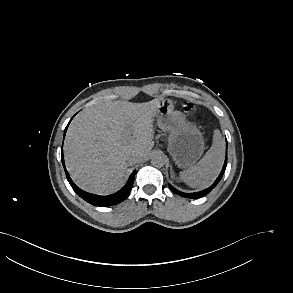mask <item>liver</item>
<instances>
[{"instance_id": "6515ba94", "label": "liver", "mask_w": 293, "mask_h": 293, "mask_svg": "<svg viewBox=\"0 0 293 293\" xmlns=\"http://www.w3.org/2000/svg\"><path fill=\"white\" fill-rule=\"evenodd\" d=\"M160 103L109 101L78 113L64 144L65 163L75 183L96 194L117 191L130 166L129 156L139 154L142 160L154 146L153 117Z\"/></svg>"}]
</instances>
